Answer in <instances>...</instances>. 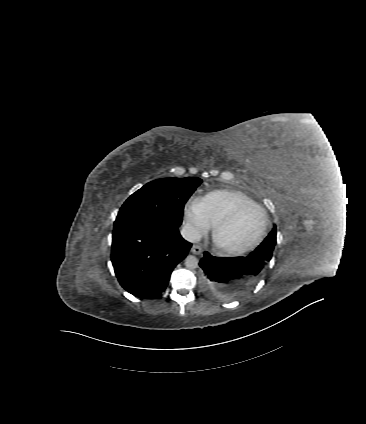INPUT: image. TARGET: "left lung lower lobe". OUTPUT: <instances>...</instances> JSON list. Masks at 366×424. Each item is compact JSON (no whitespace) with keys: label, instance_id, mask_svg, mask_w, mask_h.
I'll list each match as a JSON object with an SVG mask.
<instances>
[{"label":"left lung lower lobe","instance_id":"1","mask_svg":"<svg viewBox=\"0 0 366 424\" xmlns=\"http://www.w3.org/2000/svg\"><path fill=\"white\" fill-rule=\"evenodd\" d=\"M199 265L203 289L215 298L230 300L238 295L240 279L252 285L248 280L262 275L268 262L252 253L246 257H214L205 252Z\"/></svg>","mask_w":366,"mask_h":424}]
</instances>
